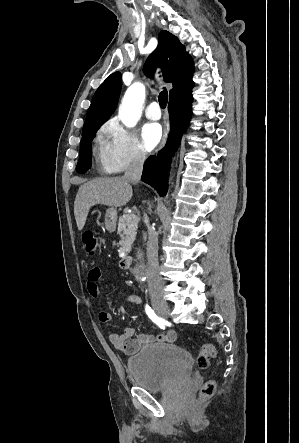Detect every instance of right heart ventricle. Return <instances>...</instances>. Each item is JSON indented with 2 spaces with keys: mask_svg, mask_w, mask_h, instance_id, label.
<instances>
[{
  "mask_svg": "<svg viewBox=\"0 0 299 443\" xmlns=\"http://www.w3.org/2000/svg\"><path fill=\"white\" fill-rule=\"evenodd\" d=\"M95 158L97 165L99 169L103 172H113V170L110 167V164L108 162L107 156H106V145L105 142L100 140L97 143L96 149H95Z\"/></svg>",
  "mask_w": 299,
  "mask_h": 443,
  "instance_id": "1",
  "label": "right heart ventricle"
}]
</instances>
